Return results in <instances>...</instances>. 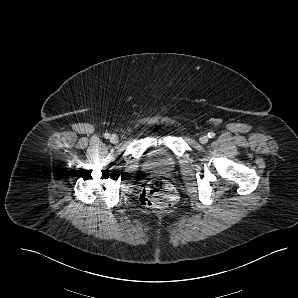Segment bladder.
<instances>
[{
    "label": "bladder",
    "instance_id": "31cf9c89",
    "mask_svg": "<svg viewBox=\"0 0 298 298\" xmlns=\"http://www.w3.org/2000/svg\"><path fill=\"white\" fill-rule=\"evenodd\" d=\"M149 137L142 156V165L148 172L169 174L177 165V158L165 145L160 133H146Z\"/></svg>",
    "mask_w": 298,
    "mask_h": 298
}]
</instances>
